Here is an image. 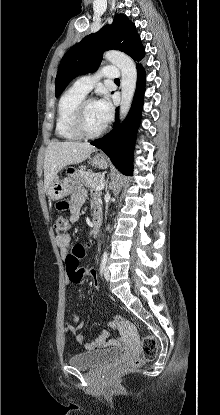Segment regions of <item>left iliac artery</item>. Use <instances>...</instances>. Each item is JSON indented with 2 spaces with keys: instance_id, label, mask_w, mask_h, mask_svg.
<instances>
[{
  "instance_id": "44dca946",
  "label": "left iliac artery",
  "mask_w": 220,
  "mask_h": 415,
  "mask_svg": "<svg viewBox=\"0 0 220 415\" xmlns=\"http://www.w3.org/2000/svg\"><path fill=\"white\" fill-rule=\"evenodd\" d=\"M107 258H108V253L106 251H104L103 256H102V262H101V267H105L106 262H107Z\"/></svg>"
}]
</instances>
